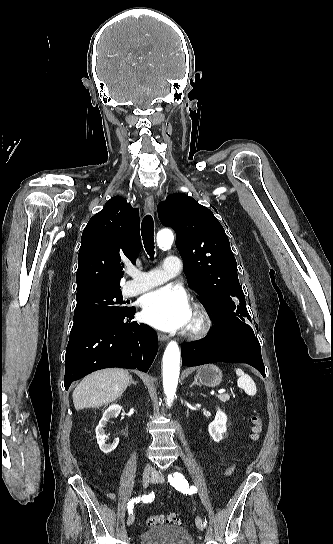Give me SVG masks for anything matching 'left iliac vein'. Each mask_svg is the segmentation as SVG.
<instances>
[{"label":"left iliac vein","instance_id":"4c4485c4","mask_svg":"<svg viewBox=\"0 0 333 544\" xmlns=\"http://www.w3.org/2000/svg\"><path fill=\"white\" fill-rule=\"evenodd\" d=\"M152 482L153 483H163L164 482V478L158 473V472H155L152 476ZM195 523H196V526L199 530H202L203 529V522H202V518L200 516H197L196 519H195Z\"/></svg>","mask_w":333,"mask_h":544}]
</instances>
